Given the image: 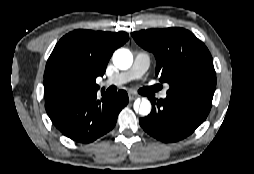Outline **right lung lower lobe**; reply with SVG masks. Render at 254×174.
I'll return each mask as SVG.
<instances>
[{
  "instance_id": "1",
  "label": "right lung lower lobe",
  "mask_w": 254,
  "mask_h": 174,
  "mask_svg": "<svg viewBox=\"0 0 254 174\" xmlns=\"http://www.w3.org/2000/svg\"><path fill=\"white\" fill-rule=\"evenodd\" d=\"M92 89L59 98L45 99V109L53 124L70 139L90 143L109 132L117 116L128 104V95L120 90L109 96Z\"/></svg>"
}]
</instances>
